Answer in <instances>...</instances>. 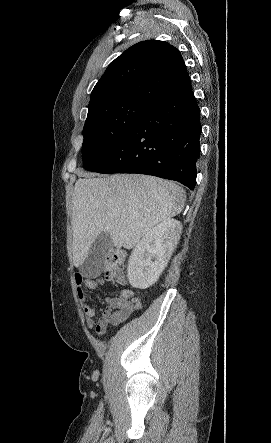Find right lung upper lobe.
I'll list each match as a JSON object with an SVG mask.
<instances>
[{
  "label": "right lung upper lobe",
  "instance_id": "obj_1",
  "mask_svg": "<svg viewBox=\"0 0 271 443\" xmlns=\"http://www.w3.org/2000/svg\"><path fill=\"white\" fill-rule=\"evenodd\" d=\"M190 87L185 63L174 46L158 40L139 42L107 67L91 93L88 116L104 103L123 99L152 103Z\"/></svg>",
  "mask_w": 271,
  "mask_h": 443
}]
</instances>
